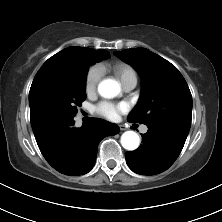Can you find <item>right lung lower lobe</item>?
<instances>
[{
    "label": "right lung lower lobe",
    "instance_id": "1",
    "mask_svg": "<svg viewBox=\"0 0 222 222\" xmlns=\"http://www.w3.org/2000/svg\"><path fill=\"white\" fill-rule=\"evenodd\" d=\"M74 117H53L33 130L39 149L47 162L62 174L88 173L94 166L99 142L119 132L116 124L91 118L81 128Z\"/></svg>",
    "mask_w": 222,
    "mask_h": 222
}]
</instances>
